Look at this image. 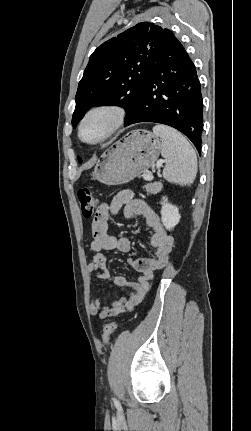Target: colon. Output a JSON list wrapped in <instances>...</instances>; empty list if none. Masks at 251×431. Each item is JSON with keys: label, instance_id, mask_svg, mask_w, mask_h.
Returning a JSON list of instances; mask_svg holds the SVG:
<instances>
[{"label": "colon", "instance_id": "obj_1", "mask_svg": "<svg viewBox=\"0 0 251 431\" xmlns=\"http://www.w3.org/2000/svg\"><path fill=\"white\" fill-rule=\"evenodd\" d=\"M77 197L83 217L86 219L91 218L94 215L97 207V199L87 187H81L77 192ZM116 327V321H112L104 325L102 332V340L104 344H108Z\"/></svg>", "mask_w": 251, "mask_h": 431}]
</instances>
